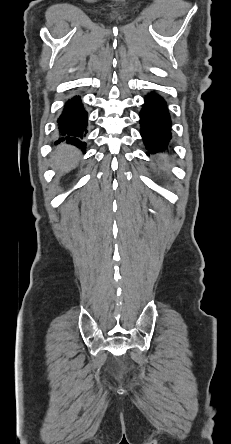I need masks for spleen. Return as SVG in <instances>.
<instances>
[{"label": "spleen", "instance_id": "1", "mask_svg": "<svg viewBox=\"0 0 231 444\" xmlns=\"http://www.w3.org/2000/svg\"><path fill=\"white\" fill-rule=\"evenodd\" d=\"M159 159L162 161V166H161V168L163 169V170H165L168 166H169V160H168V157L166 156V155H160L159 156Z\"/></svg>", "mask_w": 231, "mask_h": 444}]
</instances>
